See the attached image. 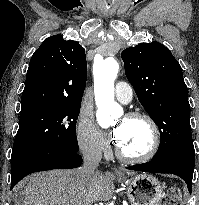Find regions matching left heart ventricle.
<instances>
[{
    "instance_id": "b2bd125f",
    "label": "left heart ventricle",
    "mask_w": 199,
    "mask_h": 205,
    "mask_svg": "<svg viewBox=\"0 0 199 205\" xmlns=\"http://www.w3.org/2000/svg\"><path fill=\"white\" fill-rule=\"evenodd\" d=\"M113 124L116 126L121 125L124 129L118 145L126 154L140 155L148 149L151 133L145 121L121 117L116 119Z\"/></svg>"
}]
</instances>
